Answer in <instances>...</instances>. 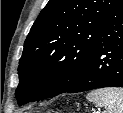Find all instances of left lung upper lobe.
<instances>
[{
	"label": "left lung upper lobe",
	"mask_w": 123,
	"mask_h": 113,
	"mask_svg": "<svg viewBox=\"0 0 123 113\" xmlns=\"http://www.w3.org/2000/svg\"><path fill=\"white\" fill-rule=\"evenodd\" d=\"M118 0H49L25 40L19 104L52 98L79 80L103 20Z\"/></svg>",
	"instance_id": "5c2ea615"
}]
</instances>
